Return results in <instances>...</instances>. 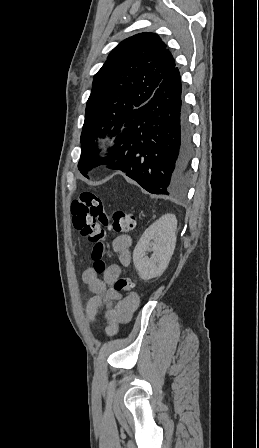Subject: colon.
Masks as SVG:
<instances>
[{"label":"colon","instance_id":"5ec220e1","mask_svg":"<svg viewBox=\"0 0 259 448\" xmlns=\"http://www.w3.org/2000/svg\"><path fill=\"white\" fill-rule=\"evenodd\" d=\"M71 213L74 227L92 244L91 258L93 269L103 273L106 269L104 261L106 231L122 234L134 229L136 220L132 213L121 209L111 214L105 211L101 198L91 191H83L71 204ZM114 288L131 296L134 286L130 278L120 277L116 280Z\"/></svg>","mask_w":259,"mask_h":448}]
</instances>
